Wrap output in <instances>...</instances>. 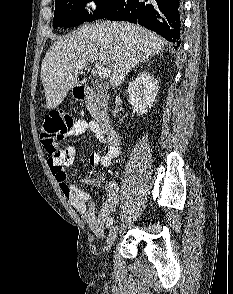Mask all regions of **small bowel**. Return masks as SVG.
Instances as JSON below:
<instances>
[{"instance_id":"1","label":"small bowel","mask_w":233,"mask_h":294,"mask_svg":"<svg viewBox=\"0 0 233 294\" xmlns=\"http://www.w3.org/2000/svg\"><path fill=\"white\" fill-rule=\"evenodd\" d=\"M86 132H90L105 148L103 155L98 152L91 153L89 163L93 166H110L112 160L120 153L118 137L114 141L109 140L97 122L84 119L74 122L72 128L65 135L79 136ZM76 154V149L73 146H67L60 152L59 157H49L47 164L63 195L91 229L95 233H101L116 209L120 198V187L116 182H109L106 185L105 200L99 213L96 214L91 196L86 191L70 184L67 180L66 169L73 165ZM104 183L105 174L101 172L97 173L94 177V184L96 186H102Z\"/></svg>"}]
</instances>
